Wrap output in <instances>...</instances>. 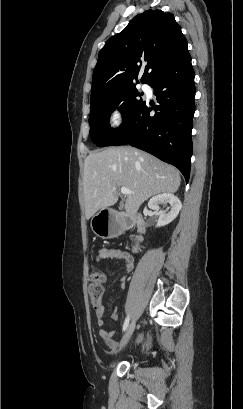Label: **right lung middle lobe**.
I'll use <instances>...</instances> for the list:
<instances>
[{
    "instance_id": "1",
    "label": "right lung middle lobe",
    "mask_w": 243,
    "mask_h": 409,
    "mask_svg": "<svg viewBox=\"0 0 243 409\" xmlns=\"http://www.w3.org/2000/svg\"><path fill=\"white\" fill-rule=\"evenodd\" d=\"M142 103L143 100L135 85L90 102L89 124L92 141L100 147L108 146ZM118 106L123 116V123L119 128L112 129L109 126V116Z\"/></svg>"
}]
</instances>
